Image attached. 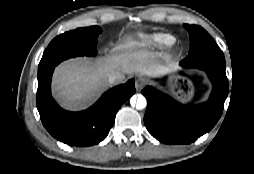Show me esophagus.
<instances>
[{"label":"esophagus","instance_id":"34e87169","mask_svg":"<svg viewBox=\"0 0 254 174\" xmlns=\"http://www.w3.org/2000/svg\"><path fill=\"white\" fill-rule=\"evenodd\" d=\"M145 86V80L143 78H138L135 82V88L140 91Z\"/></svg>","mask_w":254,"mask_h":174}]
</instances>
